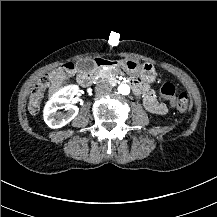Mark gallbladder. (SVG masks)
Returning a JSON list of instances; mask_svg holds the SVG:
<instances>
[{
    "instance_id": "obj_1",
    "label": "gallbladder",
    "mask_w": 217,
    "mask_h": 217,
    "mask_svg": "<svg viewBox=\"0 0 217 217\" xmlns=\"http://www.w3.org/2000/svg\"><path fill=\"white\" fill-rule=\"evenodd\" d=\"M78 66L84 71L94 69L95 62L93 60H82L78 63Z\"/></svg>"
}]
</instances>
